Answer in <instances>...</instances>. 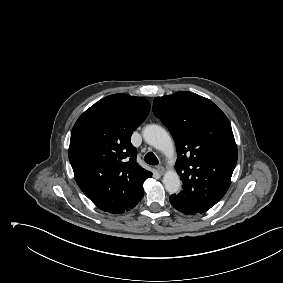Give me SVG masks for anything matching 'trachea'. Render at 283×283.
Segmentation results:
<instances>
[{
	"instance_id": "trachea-1",
	"label": "trachea",
	"mask_w": 283,
	"mask_h": 283,
	"mask_svg": "<svg viewBox=\"0 0 283 283\" xmlns=\"http://www.w3.org/2000/svg\"><path fill=\"white\" fill-rule=\"evenodd\" d=\"M144 161L149 165H158L159 161L154 153L149 152L145 155Z\"/></svg>"
}]
</instances>
